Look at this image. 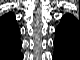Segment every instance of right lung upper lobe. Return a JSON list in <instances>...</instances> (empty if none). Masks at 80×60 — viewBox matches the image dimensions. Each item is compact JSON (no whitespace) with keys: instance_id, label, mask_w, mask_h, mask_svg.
<instances>
[{"instance_id":"1","label":"right lung upper lobe","mask_w":80,"mask_h":60,"mask_svg":"<svg viewBox=\"0 0 80 60\" xmlns=\"http://www.w3.org/2000/svg\"><path fill=\"white\" fill-rule=\"evenodd\" d=\"M21 45L19 28L13 13H8L1 18L0 47L13 49Z\"/></svg>"}]
</instances>
